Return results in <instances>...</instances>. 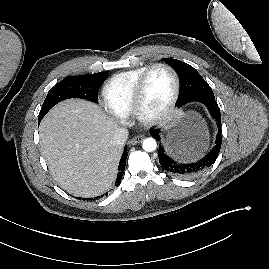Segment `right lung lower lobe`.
Instances as JSON below:
<instances>
[{
    "instance_id": "1",
    "label": "right lung lower lobe",
    "mask_w": 269,
    "mask_h": 269,
    "mask_svg": "<svg viewBox=\"0 0 269 269\" xmlns=\"http://www.w3.org/2000/svg\"><path fill=\"white\" fill-rule=\"evenodd\" d=\"M127 146L125 147L124 149V152H123V155L121 157V160H120V163H119V167H118V175H117V179H116V182H115V186H118L121 182V179H122V176H123V173H124V169H125V165H126V158H127ZM107 195V193H106ZM99 197H96V199H98Z\"/></svg>"
}]
</instances>
